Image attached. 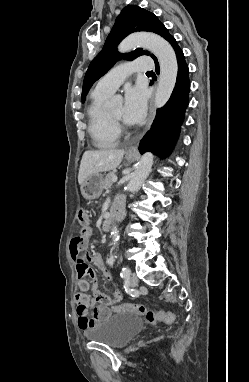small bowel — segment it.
<instances>
[{"label": "small bowel", "mask_w": 249, "mask_h": 382, "mask_svg": "<svg viewBox=\"0 0 249 382\" xmlns=\"http://www.w3.org/2000/svg\"><path fill=\"white\" fill-rule=\"evenodd\" d=\"M93 235V231L91 228H87L85 230H82L80 234L73 238L71 242H68V251L71 252L70 259L72 262H77L78 259H83L85 261H91L94 263L95 260H101L100 256L96 254L95 252H85L84 248L87 244V242L90 240V238ZM80 238H83L81 241H76ZM78 287L81 290V292L77 293L75 296V300L77 303V314L79 317V327L80 329L87 331L91 327L97 325L101 321H103L105 318H107L111 311L109 307L103 306V305H95L94 299L90 296V292L92 290L91 283L83 279L82 282H78ZM117 295L120 296L119 293ZM94 306V307H93ZM93 307L92 314L89 316V308Z\"/></svg>", "instance_id": "c3829d8e"}]
</instances>
